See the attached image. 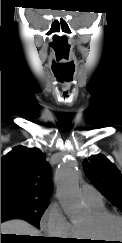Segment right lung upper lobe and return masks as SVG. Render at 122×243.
I'll return each instance as SVG.
<instances>
[{
  "instance_id": "cb5924a9",
  "label": "right lung upper lobe",
  "mask_w": 122,
  "mask_h": 243,
  "mask_svg": "<svg viewBox=\"0 0 122 243\" xmlns=\"http://www.w3.org/2000/svg\"><path fill=\"white\" fill-rule=\"evenodd\" d=\"M51 189V170L40 149L18 146L1 158V196L49 200Z\"/></svg>"
}]
</instances>
